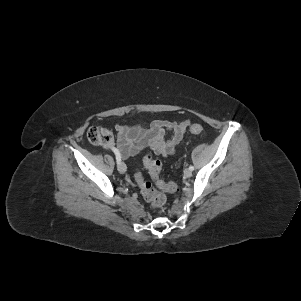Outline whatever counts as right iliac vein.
Returning <instances> with one entry per match:
<instances>
[{
  "mask_svg": "<svg viewBox=\"0 0 301 301\" xmlns=\"http://www.w3.org/2000/svg\"><path fill=\"white\" fill-rule=\"evenodd\" d=\"M117 168L120 173H125L127 170L126 165L121 161L119 163H117Z\"/></svg>",
  "mask_w": 301,
  "mask_h": 301,
  "instance_id": "1",
  "label": "right iliac vein"
}]
</instances>
